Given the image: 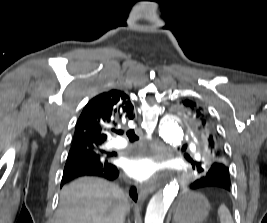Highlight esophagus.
<instances>
[{
	"label": "esophagus",
	"instance_id": "1",
	"mask_svg": "<svg viewBox=\"0 0 267 223\" xmlns=\"http://www.w3.org/2000/svg\"><path fill=\"white\" fill-rule=\"evenodd\" d=\"M153 158L157 161L167 160L171 157L169 149L165 146V144L159 140H155L151 144ZM155 190V186L151 185L146 188H141L139 192V196L141 200H144L146 196Z\"/></svg>",
	"mask_w": 267,
	"mask_h": 223
}]
</instances>
